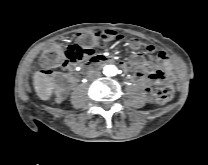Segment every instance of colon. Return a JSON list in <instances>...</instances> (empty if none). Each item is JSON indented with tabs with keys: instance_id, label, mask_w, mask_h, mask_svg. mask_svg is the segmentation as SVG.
Returning <instances> with one entry per match:
<instances>
[{
	"instance_id": "1",
	"label": "colon",
	"mask_w": 208,
	"mask_h": 165,
	"mask_svg": "<svg viewBox=\"0 0 208 165\" xmlns=\"http://www.w3.org/2000/svg\"><path fill=\"white\" fill-rule=\"evenodd\" d=\"M121 36L113 31H85L76 35L75 42L67 48L60 42L49 44L43 51L40 58L41 72L51 76L54 69L65 67L67 63H77L84 58L95 55L94 48L99 42L120 41ZM130 47L133 50H144L147 54L154 53L155 48L152 45H144L142 42L133 39L130 41ZM174 96V89L168 85L158 89L155 93L157 103H165Z\"/></svg>"
}]
</instances>
